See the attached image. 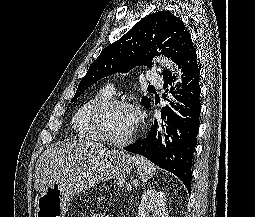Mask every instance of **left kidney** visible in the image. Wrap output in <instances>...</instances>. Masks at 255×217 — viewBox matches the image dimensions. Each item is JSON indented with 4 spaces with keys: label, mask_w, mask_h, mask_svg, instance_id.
Here are the masks:
<instances>
[{
    "label": "left kidney",
    "mask_w": 255,
    "mask_h": 217,
    "mask_svg": "<svg viewBox=\"0 0 255 217\" xmlns=\"http://www.w3.org/2000/svg\"><path fill=\"white\" fill-rule=\"evenodd\" d=\"M168 217L166 194L162 191L149 189L141 196L137 217Z\"/></svg>",
    "instance_id": "left-kidney-1"
}]
</instances>
